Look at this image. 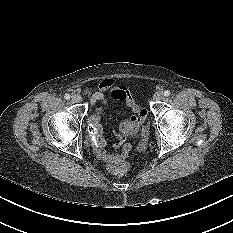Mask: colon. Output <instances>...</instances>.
Instances as JSON below:
<instances>
[{"label":"colon","mask_w":233,"mask_h":233,"mask_svg":"<svg viewBox=\"0 0 233 233\" xmlns=\"http://www.w3.org/2000/svg\"><path fill=\"white\" fill-rule=\"evenodd\" d=\"M84 130H85V133L88 135L86 139L87 143L92 146L96 145L99 140L98 136L95 134L97 130L96 125L91 122L87 123L85 125ZM142 137L144 141H146L148 138V129L146 127L143 128ZM108 169L110 170L111 173L115 175H123L128 171L129 166L127 164H121V165L109 164Z\"/></svg>","instance_id":"5ec220e1"}]
</instances>
